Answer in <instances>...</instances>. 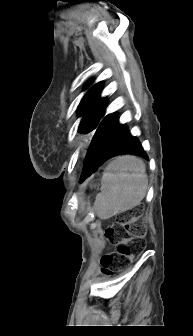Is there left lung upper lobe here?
Instances as JSON below:
<instances>
[{"mask_svg":"<svg viewBox=\"0 0 193 336\" xmlns=\"http://www.w3.org/2000/svg\"><path fill=\"white\" fill-rule=\"evenodd\" d=\"M102 85L103 82H100L92 87L78 106L80 115H84L79 126V132L81 133H88L94 130L104 116L107 100L99 98Z\"/></svg>","mask_w":193,"mask_h":336,"instance_id":"left-lung-upper-lobe-1","label":"left lung upper lobe"}]
</instances>
